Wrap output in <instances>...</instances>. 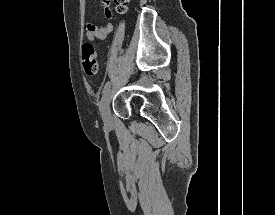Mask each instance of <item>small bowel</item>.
<instances>
[{
	"label": "small bowel",
	"instance_id": "1",
	"mask_svg": "<svg viewBox=\"0 0 275 215\" xmlns=\"http://www.w3.org/2000/svg\"><path fill=\"white\" fill-rule=\"evenodd\" d=\"M102 9L104 11L105 17L111 19L112 13L110 10V0H101ZM112 30V24L107 23L103 27H98L93 23H88L86 25V37L89 41L94 40H104L110 34Z\"/></svg>",
	"mask_w": 275,
	"mask_h": 215
}]
</instances>
